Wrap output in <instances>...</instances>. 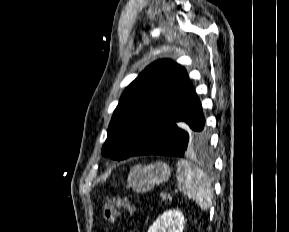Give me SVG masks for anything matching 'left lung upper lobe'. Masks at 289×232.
I'll use <instances>...</instances> for the list:
<instances>
[{"instance_id": "left-lung-upper-lobe-1", "label": "left lung upper lobe", "mask_w": 289, "mask_h": 232, "mask_svg": "<svg viewBox=\"0 0 289 232\" xmlns=\"http://www.w3.org/2000/svg\"><path fill=\"white\" fill-rule=\"evenodd\" d=\"M191 91L192 83L179 64L168 59L150 64L123 92L103 155L114 160L133 155L171 120Z\"/></svg>"}]
</instances>
